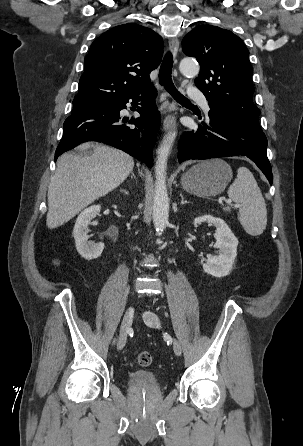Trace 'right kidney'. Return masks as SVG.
<instances>
[{
  "instance_id": "ca27d5eb",
  "label": "right kidney",
  "mask_w": 303,
  "mask_h": 446,
  "mask_svg": "<svg viewBox=\"0 0 303 446\" xmlns=\"http://www.w3.org/2000/svg\"><path fill=\"white\" fill-rule=\"evenodd\" d=\"M100 209V205H94L83 210L77 217L73 229L76 249L78 253L86 260L98 258L104 249V244L102 242L94 243L92 241H88L87 235L89 232L88 226L90 225L91 220L99 214Z\"/></svg>"
}]
</instances>
